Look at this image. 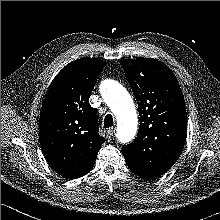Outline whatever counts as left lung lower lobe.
<instances>
[{
	"instance_id": "left-lung-lower-lobe-1",
	"label": "left lung lower lobe",
	"mask_w": 220,
	"mask_h": 220,
	"mask_svg": "<svg viewBox=\"0 0 220 220\" xmlns=\"http://www.w3.org/2000/svg\"><path fill=\"white\" fill-rule=\"evenodd\" d=\"M126 163H127L128 167L130 168V170H132L135 174H137L138 176H140L142 178L154 179V178L161 175V174H155V173L144 172V171H136L131 167V165L128 162H126Z\"/></svg>"
}]
</instances>
